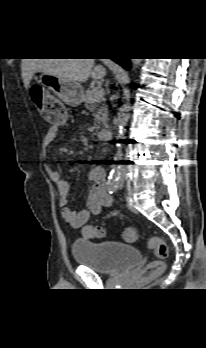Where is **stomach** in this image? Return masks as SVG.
I'll use <instances>...</instances> for the list:
<instances>
[{"instance_id": "1", "label": "stomach", "mask_w": 206, "mask_h": 348, "mask_svg": "<svg viewBox=\"0 0 206 348\" xmlns=\"http://www.w3.org/2000/svg\"><path fill=\"white\" fill-rule=\"evenodd\" d=\"M38 83L43 90H50L55 96L70 106H78L84 99V90L79 83L71 82L50 73L42 72Z\"/></svg>"}]
</instances>
